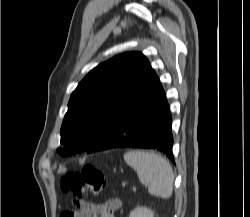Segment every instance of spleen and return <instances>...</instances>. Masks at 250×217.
<instances>
[{
  "label": "spleen",
  "instance_id": "1",
  "mask_svg": "<svg viewBox=\"0 0 250 217\" xmlns=\"http://www.w3.org/2000/svg\"><path fill=\"white\" fill-rule=\"evenodd\" d=\"M124 160L137 172L140 182L148 186L149 194L170 198L174 174L165 158L154 152L131 150L124 154Z\"/></svg>",
  "mask_w": 250,
  "mask_h": 217
}]
</instances>
